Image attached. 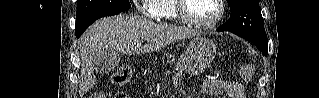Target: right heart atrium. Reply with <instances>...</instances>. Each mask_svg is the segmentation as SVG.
Wrapping results in <instances>:
<instances>
[{
    "mask_svg": "<svg viewBox=\"0 0 319 98\" xmlns=\"http://www.w3.org/2000/svg\"><path fill=\"white\" fill-rule=\"evenodd\" d=\"M147 1L149 0H145V1H135L136 3L142 2V3H147ZM141 11L143 13H145L148 17L150 18H158L156 13L154 11H152L151 9L147 8V6H142L141 7Z\"/></svg>",
    "mask_w": 319,
    "mask_h": 98,
    "instance_id": "1",
    "label": "right heart atrium"
}]
</instances>
